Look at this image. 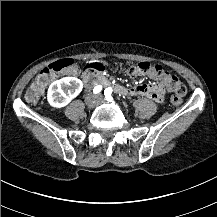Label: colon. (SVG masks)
<instances>
[{"label":"colon","instance_id":"colon-1","mask_svg":"<svg viewBox=\"0 0 217 217\" xmlns=\"http://www.w3.org/2000/svg\"><path fill=\"white\" fill-rule=\"evenodd\" d=\"M82 65L80 59L75 56L66 59L52 62L44 67L28 89L25 92V100L29 104H36L45 87H48L52 80L57 79L68 73L76 74L81 71ZM133 77L147 76L149 79L159 81L166 85L170 91H176L179 95H185L188 92V87L176 75L170 73L161 67H152L148 62L135 63L129 70ZM182 98L172 94L171 102L173 104H180Z\"/></svg>","mask_w":217,"mask_h":217}]
</instances>
